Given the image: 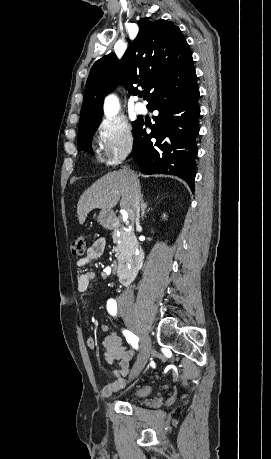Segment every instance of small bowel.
<instances>
[{
  "label": "small bowel",
  "instance_id": "obj_1",
  "mask_svg": "<svg viewBox=\"0 0 271 459\" xmlns=\"http://www.w3.org/2000/svg\"><path fill=\"white\" fill-rule=\"evenodd\" d=\"M106 248V240L104 238L97 239L86 251V253L77 261L79 268L84 267L90 262L100 258ZM95 279V273L92 271H82L77 278V289L80 292H85L90 287V283ZM100 329L107 333L102 340L104 350V359L108 363L118 362L119 367L114 372L115 380L106 384L101 394L104 397H110L114 393L121 390L126 383L132 379V371L130 362L132 360V352L123 346L122 339L115 333H111L107 323H101ZM86 343L88 348L94 349L96 346L95 340L91 335H87Z\"/></svg>",
  "mask_w": 271,
  "mask_h": 459
}]
</instances>
